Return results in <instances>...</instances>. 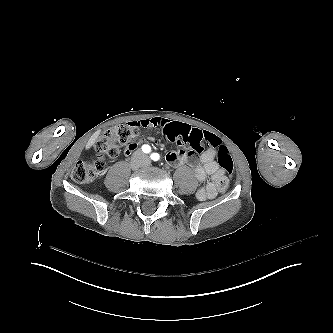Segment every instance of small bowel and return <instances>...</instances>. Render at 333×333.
<instances>
[{
    "instance_id": "1",
    "label": "small bowel",
    "mask_w": 333,
    "mask_h": 333,
    "mask_svg": "<svg viewBox=\"0 0 333 333\" xmlns=\"http://www.w3.org/2000/svg\"><path fill=\"white\" fill-rule=\"evenodd\" d=\"M135 127L139 128H160L162 130L172 131H193L185 127L183 124L172 121L164 117H151L143 118L132 123ZM196 131V130H194ZM199 132V131H198ZM155 144H160V139H155ZM165 146L168 144L166 141L163 143ZM137 149V143L128 144L124 149V154L130 156ZM165 161L169 165H183L188 161V154L183 149L171 150L166 153ZM195 178L198 182H204L207 177L209 181L204 186L198 189L196 198L200 201L213 199L216 195L224 190L222 184L227 182L226 172L215 161V151L209 148L200 156V163L194 170Z\"/></svg>"
}]
</instances>
